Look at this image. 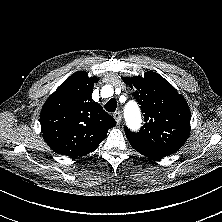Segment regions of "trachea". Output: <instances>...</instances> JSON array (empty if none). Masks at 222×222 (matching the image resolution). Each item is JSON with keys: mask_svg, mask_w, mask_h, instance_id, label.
<instances>
[{"mask_svg": "<svg viewBox=\"0 0 222 222\" xmlns=\"http://www.w3.org/2000/svg\"><path fill=\"white\" fill-rule=\"evenodd\" d=\"M117 108V102L114 98H111L106 104L105 109L108 112H114Z\"/></svg>", "mask_w": 222, "mask_h": 222, "instance_id": "trachea-1", "label": "trachea"}]
</instances>
